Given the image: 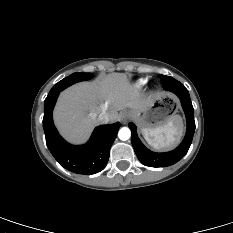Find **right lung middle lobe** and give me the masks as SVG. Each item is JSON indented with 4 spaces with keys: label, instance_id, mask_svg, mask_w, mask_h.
I'll use <instances>...</instances> for the list:
<instances>
[{
    "label": "right lung middle lobe",
    "instance_id": "dd1d6c3e",
    "mask_svg": "<svg viewBox=\"0 0 233 233\" xmlns=\"http://www.w3.org/2000/svg\"><path fill=\"white\" fill-rule=\"evenodd\" d=\"M93 77V75L91 73H84V72H76L71 74L70 76L62 79L61 81H59L58 83H56L53 88L50 90L49 95H52L56 92H61L62 90H64L65 88L69 87L70 85L80 82V81H84V80H88L91 79Z\"/></svg>",
    "mask_w": 233,
    "mask_h": 233
}]
</instances>
